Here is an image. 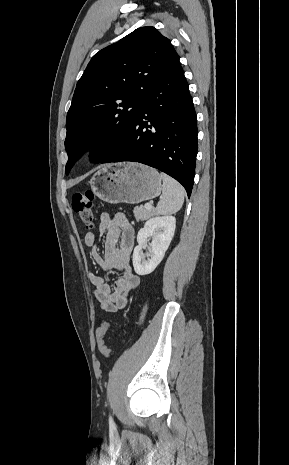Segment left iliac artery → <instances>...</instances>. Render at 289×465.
Returning a JSON list of instances; mask_svg holds the SVG:
<instances>
[{
  "label": "left iliac artery",
  "mask_w": 289,
  "mask_h": 465,
  "mask_svg": "<svg viewBox=\"0 0 289 465\" xmlns=\"http://www.w3.org/2000/svg\"><path fill=\"white\" fill-rule=\"evenodd\" d=\"M109 423H110V425H113V424H114L113 419H112L111 416L109 417Z\"/></svg>",
  "instance_id": "obj_1"
}]
</instances>
